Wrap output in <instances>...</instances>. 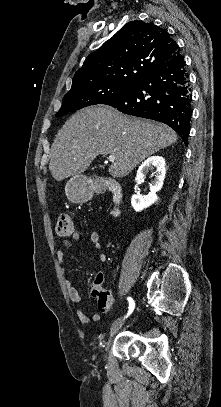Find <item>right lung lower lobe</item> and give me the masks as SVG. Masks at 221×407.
Segmentation results:
<instances>
[{"label":"right lung lower lobe","mask_w":221,"mask_h":407,"mask_svg":"<svg viewBox=\"0 0 221 407\" xmlns=\"http://www.w3.org/2000/svg\"><path fill=\"white\" fill-rule=\"evenodd\" d=\"M191 101L186 63L178 49L171 59L147 73L129 92L105 104L128 115L163 122L187 145Z\"/></svg>","instance_id":"obj_1"}]
</instances>
